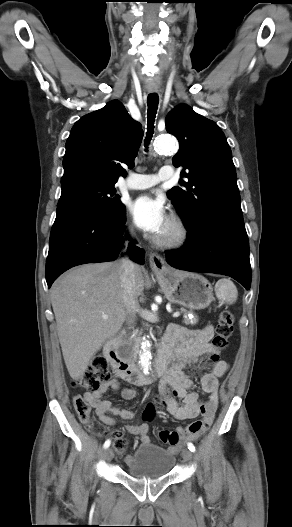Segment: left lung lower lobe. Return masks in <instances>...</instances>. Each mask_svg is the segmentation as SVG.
<instances>
[{"instance_id":"obj_1","label":"left lung lower lobe","mask_w":292,"mask_h":527,"mask_svg":"<svg viewBox=\"0 0 292 527\" xmlns=\"http://www.w3.org/2000/svg\"><path fill=\"white\" fill-rule=\"evenodd\" d=\"M165 254L168 264L175 268L227 275L250 289L249 242L242 220L221 219L200 224L188 230L183 247Z\"/></svg>"}]
</instances>
